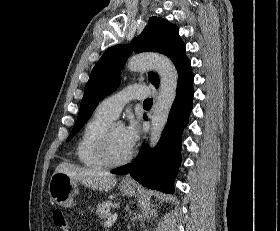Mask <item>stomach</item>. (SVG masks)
I'll use <instances>...</instances> for the list:
<instances>
[{
  "instance_id": "0dacf381",
  "label": "stomach",
  "mask_w": 280,
  "mask_h": 231,
  "mask_svg": "<svg viewBox=\"0 0 280 231\" xmlns=\"http://www.w3.org/2000/svg\"><path fill=\"white\" fill-rule=\"evenodd\" d=\"M79 191L78 181L71 179L66 173H53L48 185V193L52 197L53 201H56L58 205H64V207H73L75 205V195ZM123 195H135V187H120Z\"/></svg>"
}]
</instances>
